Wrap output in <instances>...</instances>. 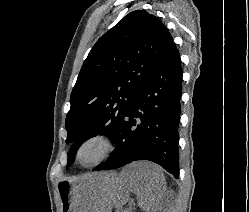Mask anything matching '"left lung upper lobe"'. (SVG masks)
<instances>
[{
  "mask_svg": "<svg viewBox=\"0 0 249 212\" xmlns=\"http://www.w3.org/2000/svg\"><path fill=\"white\" fill-rule=\"evenodd\" d=\"M172 43L164 24L145 10L129 13L96 42L71 93L68 166L91 137L106 135L115 143L132 99Z\"/></svg>",
  "mask_w": 249,
  "mask_h": 212,
  "instance_id": "1",
  "label": "left lung upper lobe"
}]
</instances>
